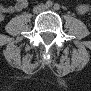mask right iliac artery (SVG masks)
Listing matches in <instances>:
<instances>
[{
  "instance_id": "right-iliac-artery-1",
  "label": "right iliac artery",
  "mask_w": 91,
  "mask_h": 91,
  "mask_svg": "<svg viewBox=\"0 0 91 91\" xmlns=\"http://www.w3.org/2000/svg\"><path fill=\"white\" fill-rule=\"evenodd\" d=\"M47 7H51L53 5L52 1H47L45 4Z\"/></svg>"
}]
</instances>
